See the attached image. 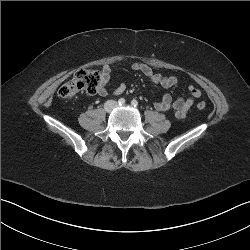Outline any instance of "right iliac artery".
I'll return each mask as SVG.
<instances>
[{
  "instance_id": "obj_1",
  "label": "right iliac artery",
  "mask_w": 250,
  "mask_h": 250,
  "mask_svg": "<svg viewBox=\"0 0 250 250\" xmlns=\"http://www.w3.org/2000/svg\"><path fill=\"white\" fill-rule=\"evenodd\" d=\"M118 104H119L120 106L124 105V104H125V99H124V98H120V99L118 100Z\"/></svg>"
}]
</instances>
